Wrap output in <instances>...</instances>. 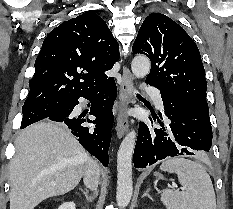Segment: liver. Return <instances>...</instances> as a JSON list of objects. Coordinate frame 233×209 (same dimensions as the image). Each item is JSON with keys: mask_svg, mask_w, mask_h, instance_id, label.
I'll return each instance as SVG.
<instances>
[{"mask_svg": "<svg viewBox=\"0 0 233 209\" xmlns=\"http://www.w3.org/2000/svg\"><path fill=\"white\" fill-rule=\"evenodd\" d=\"M10 161V209H34L43 200L66 194L80 182L90 157L62 124L39 122L15 140Z\"/></svg>", "mask_w": 233, "mask_h": 209, "instance_id": "1", "label": "liver"}]
</instances>
